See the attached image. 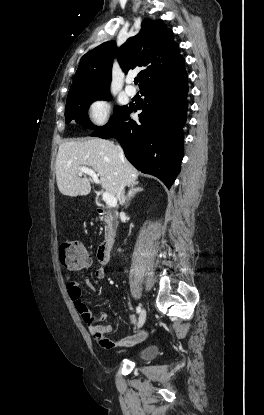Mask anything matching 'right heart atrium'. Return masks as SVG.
Here are the masks:
<instances>
[{
    "label": "right heart atrium",
    "mask_w": 264,
    "mask_h": 415,
    "mask_svg": "<svg viewBox=\"0 0 264 415\" xmlns=\"http://www.w3.org/2000/svg\"><path fill=\"white\" fill-rule=\"evenodd\" d=\"M111 113V103L107 98H98L92 101L88 108L90 120L95 125H104Z\"/></svg>",
    "instance_id": "1"
}]
</instances>
